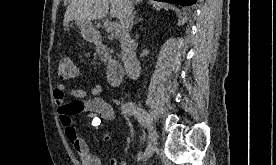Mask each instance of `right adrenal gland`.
<instances>
[{"label":"right adrenal gland","mask_w":276,"mask_h":165,"mask_svg":"<svg viewBox=\"0 0 276 165\" xmlns=\"http://www.w3.org/2000/svg\"><path fill=\"white\" fill-rule=\"evenodd\" d=\"M137 12L135 11L132 15V20H131V27H133L134 24H136L138 21H142L143 18H137L136 16Z\"/></svg>","instance_id":"right-adrenal-gland-1"}]
</instances>
